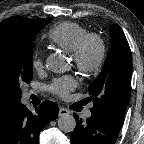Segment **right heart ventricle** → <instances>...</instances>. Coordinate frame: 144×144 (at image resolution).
Listing matches in <instances>:
<instances>
[{"instance_id": "right-heart-ventricle-1", "label": "right heart ventricle", "mask_w": 144, "mask_h": 144, "mask_svg": "<svg viewBox=\"0 0 144 144\" xmlns=\"http://www.w3.org/2000/svg\"><path fill=\"white\" fill-rule=\"evenodd\" d=\"M88 30L76 22H61L53 26L47 33L51 44L67 52H73Z\"/></svg>"}]
</instances>
